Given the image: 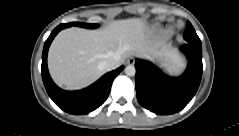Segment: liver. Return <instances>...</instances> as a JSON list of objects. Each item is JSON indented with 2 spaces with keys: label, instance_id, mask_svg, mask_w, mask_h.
<instances>
[{
  "label": "liver",
  "instance_id": "obj_1",
  "mask_svg": "<svg viewBox=\"0 0 239 136\" xmlns=\"http://www.w3.org/2000/svg\"><path fill=\"white\" fill-rule=\"evenodd\" d=\"M159 42L148 41L147 24L139 18L117 20L101 30L71 27L62 30L48 52V68L55 83L68 90L87 87L107 70L103 63L113 57H148Z\"/></svg>",
  "mask_w": 239,
  "mask_h": 136
}]
</instances>
